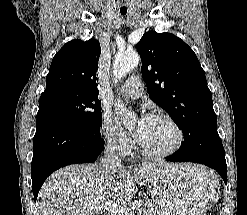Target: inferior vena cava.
Here are the masks:
<instances>
[{"label":"inferior vena cava","instance_id":"inferior-vena-cava-1","mask_svg":"<svg viewBox=\"0 0 247 215\" xmlns=\"http://www.w3.org/2000/svg\"><path fill=\"white\" fill-rule=\"evenodd\" d=\"M116 151L117 145L114 142L107 143L100 166L103 167L108 173L115 168L122 167L121 159L117 155Z\"/></svg>","mask_w":247,"mask_h":215}]
</instances>
